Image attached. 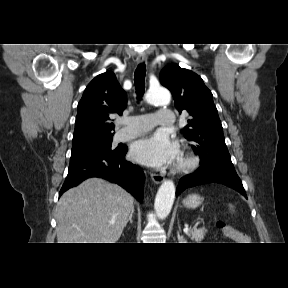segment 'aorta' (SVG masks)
Masks as SVG:
<instances>
[{"mask_svg":"<svg viewBox=\"0 0 288 288\" xmlns=\"http://www.w3.org/2000/svg\"><path fill=\"white\" fill-rule=\"evenodd\" d=\"M170 93L164 88L149 89L146 94V101L153 105H168L170 102ZM175 199V185L173 181L166 180L159 187L154 209L159 219H165L173 206Z\"/></svg>","mask_w":288,"mask_h":288,"instance_id":"obj_1","label":"aorta"}]
</instances>
